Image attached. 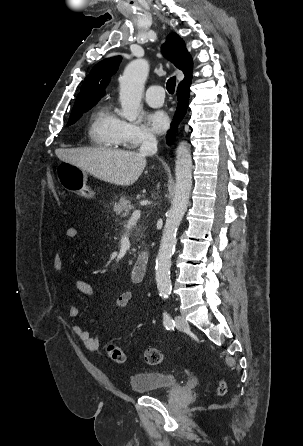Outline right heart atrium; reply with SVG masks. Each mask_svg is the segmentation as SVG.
Masks as SVG:
<instances>
[{
  "label": "right heart atrium",
  "instance_id": "obj_1",
  "mask_svg": "<svg viewBox=\"0 0 303 446\" xmlns=\"http://www.w3.org/2000/svg\"><path fill=\"white\" fill-rule=\"evenodd\" d=\"M119 136L122 144L128 148H136L156 141L154 134L139 122L121 120Z\"/></svg>",
  "mask_w": 303,
  "mask_h": 446
}]
</instances>
